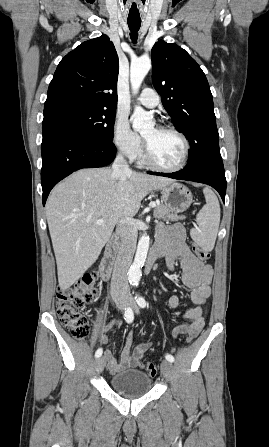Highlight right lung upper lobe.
<instances>
[{
	"label": "right lung upper lobe",
	"instance_id": "1",
	"mask_svg": "<svg viewBox=\"0 0 269 447\" xmlns=\"http://www.w3.org/2000/svg\"><path fill=\"white\" fill-rule=\"evenodd\" d=\"M118 72L117 52L108 36L82 43L60 61L44 115L64 106L116 108Z\"/></svg>",
	"mask_w": 269,
	"mask_h": 447
}]
</instances>
